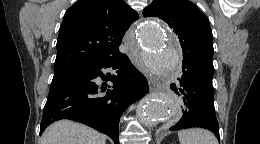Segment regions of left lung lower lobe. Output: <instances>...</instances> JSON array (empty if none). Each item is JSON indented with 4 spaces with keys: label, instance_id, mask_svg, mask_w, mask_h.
I'll list each match as a JSON object with an SVG mask.
<instances>
[{
    "label": "left lung lower lobe",
    "instance_id": "left-lung-lower-lobe-1",
    "mask_svg": "<svg viewBox=\"0 0 260 144\" xmlns=\"http://www.w3.org/2000/svg\"><path fill=\"white\" fill-rule=\"evenodd\" d=\"M183 74L178 78L177 122L170 130L202 127L211 130L219 140V125L214 109L213 73L191 63H183Z\"/></svg>",
    "mask_w": 260,
    "mask_h": 144
}]
</instances>
